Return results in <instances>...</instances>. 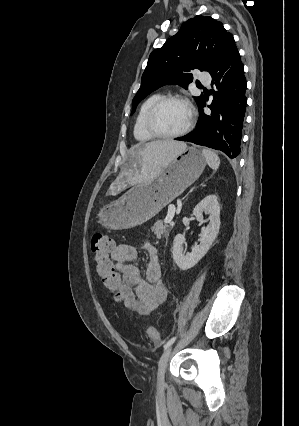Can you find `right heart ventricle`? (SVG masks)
I'll return each instance as SVG.
<instances>
[{"label": "right heart ventricle", "instance_id": "e07e8e85", "mask_svg": "<svg viewBox=\"0 0 299 426\" xmlns=\"http://www.w3.org/2000/svg\"><path fill=\"white\" fill-rule=\"evenodd\" d=\"M163 96L162 92L152 93L140 105L133 127L134 137L138 141L147 142L155 139V137L148 132L145 120L151 106Z\"/></svg>", "mask_w": 299, "mask_h": 426}]
</instances>
